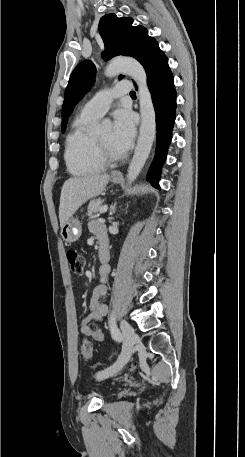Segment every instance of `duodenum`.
Segmentation results:
<instances>
[{
    "label": "duodenum",
    "mask_w": 245,
    "mask_h": 457,
    "mask_svg": "<svg viewBox=\"0 0 245 457\" xmlns=\"http://www.w3.org/2000/svg\"><path fill=\"white\" fill-rule=\"evenodd\" d=\"M98 257L102 264H107L110 258L108 249L105 247H100L98 251Z\"/></svg>",
    "instance_id": "obj_1"
}]
</instances>
